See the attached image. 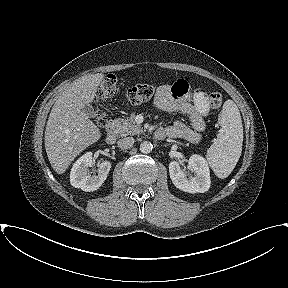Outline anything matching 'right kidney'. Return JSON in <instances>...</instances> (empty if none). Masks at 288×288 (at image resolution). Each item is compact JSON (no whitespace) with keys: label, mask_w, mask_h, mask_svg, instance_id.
Wrapping results in <instances>:
<instances>
[{"label":"right kidney","mask_w":288,"mask_h":288,"mask_svg":"<svg viewBox=\"0 0 288 288\" xmlns=\"http://www.w3.org/2000/svg\"><path fill=\"white\" fill-rule=\"evenodd\" d=\"M94 164L92 152L82 155L74 164L70 172V183L75 188L91 192L99 189L107 178L111 168L109 161H103L98 168V175H91L89 167Z\"/></svg>","instance_id":"ca27d5eb"}]
</instances>
